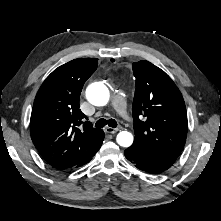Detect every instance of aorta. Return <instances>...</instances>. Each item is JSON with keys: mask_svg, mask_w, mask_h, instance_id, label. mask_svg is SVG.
<instances>
[{"mask_svg": "<svg viewBox=\"0 0 221 221\" xmlns=\"http://www.w3.org/2000/svg\"><path fill=\"white\" fill-rule=\"evenodd\" d=\"M88 101L95 106H104L108 103L110 94L108 88L101 82H95L86 90ZM117 143L122 147H129L133 143V135L128 131H121L116 137Z\"/></svg>", "mask_w": 221, "mask_h": 221, "instance_id": "obj_1", "label": "aorta"}]
</instances>
